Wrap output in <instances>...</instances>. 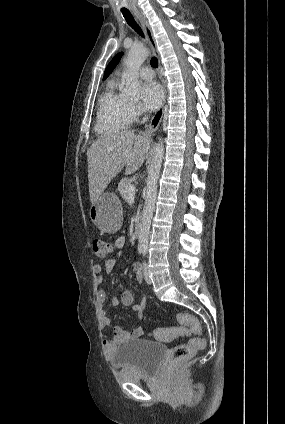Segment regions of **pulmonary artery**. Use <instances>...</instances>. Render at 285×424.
Here are the masks:
<instances>
[{"label": "pulmonary artery", "instance_id": "pulmonary-artery-1", "mask_svg": "<svg viewBox=\"0 0 285 424\" xmlns=\"http://www.w3.org/2000/svg\"><path fill=\"white\" fill-rule=\"evenodd\" d=\"M141 78L151 80L154 78V71L150 67H142L138 71Z\"/></svg>", "mask_w": 285, "mask_h": 424}]
</instances>
